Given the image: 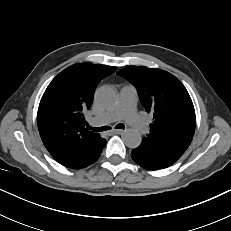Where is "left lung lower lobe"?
Wrapping results in <instances>:
<instances>
[{
  "mask_svg": "<svg viewBox=\"0 0 231 231\" xmlns=\"http://www.w3.org/2000/svg\"><path fill=\"white\" fill-rule=\"evenodd\" d=\"M185 151L172 143L144 137L142 143L133 149L132 159L148 170H158L174 164Z\"/></svg>",
  "mask_w": 231,
  "mask_h": 231,
  "instance_id": "obj_1",
  "label": "left lung lower lobe"
}]
</instances>
